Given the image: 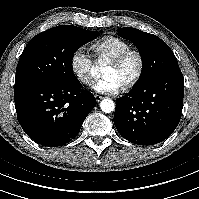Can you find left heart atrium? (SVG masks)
<instances>
[{"label": "left heart atrium", "mask_w": 199, "mask_h": 199, "mask_svg": "<svg viewBox=\"0 0 199 199\" xmlns=\"http://www.w3.org/2000/svg\"><path fill=\"white\" fill-rule=\"evenodd\" d=\"M123 87V84L114 77H106L96 81L91 85V88L100 94H116Z\"/></svg>", "instance_id": "39dd6f15"}]
</instances>
